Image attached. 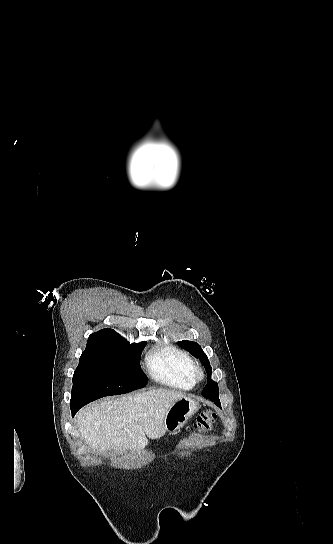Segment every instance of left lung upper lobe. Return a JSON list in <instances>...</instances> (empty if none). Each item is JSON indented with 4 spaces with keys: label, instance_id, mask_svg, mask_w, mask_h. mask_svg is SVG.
I'll return each instance as SVG.
<instances>
[{
    "label": "left lung upper lobe",
    "instance_id": "left-lung-upper-lobe-1",
    "mask_svg": "<svg viewBox=\"0 0 333 544\" xmlns=\"http://www.w3.org/2000/svg\"><path fill=\"white\" fill-rule=\"evenodd\" d=\"M178 344H180L182 348L190 352V354H192L194 357L199 358V360L207 370V385L203 389L202 395L203 393L219 392L218 384L211 379L212 368L209 364V360L206 354L201 349V346L198 343L192 341H180L178 342Z\"/></svg>",
    "mask_w": 333,
    "mask_h": 544
}]
</instances>
